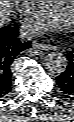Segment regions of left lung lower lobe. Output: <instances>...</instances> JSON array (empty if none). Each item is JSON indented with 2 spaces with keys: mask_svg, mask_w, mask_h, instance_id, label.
Segmentation results:
<instances>
[{
  "mask_svg": "<svg viewBox=\"0 0 74 122\" xmlns=\"http://www.w3.org/2000/svg\"><path fill=\"white\" fill-rule=\"evenodd\" d=\"M66 56L68 60L67 69L56 78V83L62 94L74 96V49Z\"/></svg>",
  "mask_w": 74,
  "mask_h": 122,
  "instance_id": "0a47b994",
  "label": "left lung lower lobe"
}]
</instances>
